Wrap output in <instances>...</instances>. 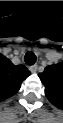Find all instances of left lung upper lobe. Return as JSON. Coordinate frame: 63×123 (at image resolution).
<instances>
[{"label":"left lung upper lobe","mask_w":63,"mask_h":123,"mask_svg":"<svg viewBox=\"0 0 63 123\" xmlns=\"http://www.w3.org/2000/svg\"><path fill=\"white\" fill-rule=\"evenodd\" d=\"M39 78L45 86V94L48 100L56 107L63 106V64L50 65L39 74Z\"/></svg>","instance_id":"obj_1"}]
</instances>
